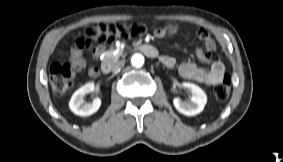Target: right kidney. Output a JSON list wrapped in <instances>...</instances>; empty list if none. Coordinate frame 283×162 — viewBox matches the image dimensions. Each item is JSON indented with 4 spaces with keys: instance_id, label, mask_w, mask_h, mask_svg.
<instances>
[{
    "instance_id": "ca27d5eb",
    "label": "right kidney",
    "mask_w": 283,
    "mask_h": 162,
    "mask_svg": "<svg viewBox=\"0 0 283 162\" xmlns=\"http://www.w3.org/2000/svg\"><path fill=\"white\" fill-rule=\"evenodd\" d=\"M94 89V83L89 82L75 91L69 102V107L74 114L79 116H89L98 111L101 105L100 98H94L92 103L85 102L84 100L85 95L93 92Z\"/></svg>"
}]
</instances>
